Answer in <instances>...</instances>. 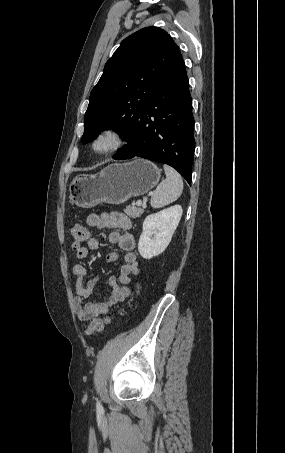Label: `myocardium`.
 Instances as JSON below:
<instances>
[{"label":"myocardium","mask_w":285,"mask_h":453,"mask_svg":"<svg viewBox=\"0 0 285 453\" xmlns=\"http://www.w3.org/2000/svg\"><path fill=\"white\" fill-rule=\"evenodd\" d=\"M107 139L110 143L109 146L103 150L98 149L97 144ZM126 142V135L124 130L116 125H109L100 129L91 141L92 151L100 156H106L119 150Z\"/></svg>","instance_id":"f54148a6"}]
</instances>
